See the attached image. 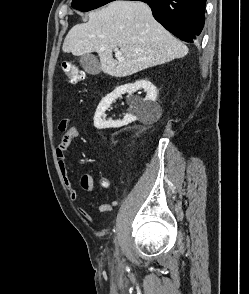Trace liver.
<instances>
[{"instance_id": "6515ba94", "label": "liver", "mask_w": 249, "mask_h": 294, "mask_svg": "<svg viewBox=\"0 0 249 294\" xmlns=\"http://www.w3.org/2000/svg\"><path fill=\"white\" fill-rule=\"evenodd\" d=\"M88 17L87 23L70 29L62 49L75 56L97 52L101 70L110 76H129L188 53L187 46L159 24L143 2L114 1ZM116 48L123 60L113 58Z\"/></svg>"}]
</instances>
